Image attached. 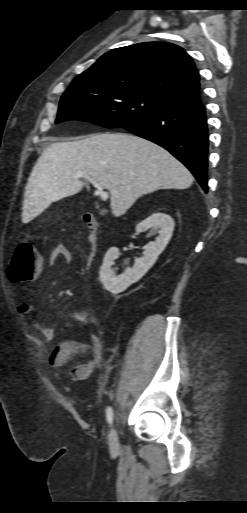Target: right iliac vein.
I'll return each mask as SVG.
<instances>
[{"instance_id": "right-iliac-vein-1", "label": "right iliac vein", "mask_w": 247, "mask_h": 513, "mask_svg": "<svg viewBox=\"0 0 247 513\" xmlns=\"http://www.w3.org/2000/svg\"><path fill=\"white\" fill-rule=\"evenodd\" d=\"M109 449L112 454H116L119 450L118 434L115 426L113 425L108 437Z\"/></svg>"}]
</instances>
